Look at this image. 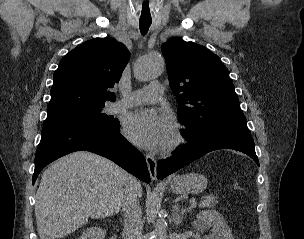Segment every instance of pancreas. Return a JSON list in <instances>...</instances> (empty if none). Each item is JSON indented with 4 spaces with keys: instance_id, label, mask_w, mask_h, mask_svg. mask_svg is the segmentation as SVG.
<instances>
[{
    "instance_id": "pancreas-1",
    "label": "pancreas",
    "mask_w": 304,
    "mask_h": 239,
    "mask_svg": "<svg viewBox=\"0 0 304 239\" xmlns=\"http://www.w3.org/2000/svg\"><path fill=\"white\" fill-rule=\"evenodd\" d=\"M218 203L215 196H207L203 202L199 204V208H213Z\"/></svg>"
}]
</instances>
